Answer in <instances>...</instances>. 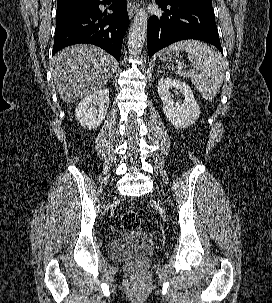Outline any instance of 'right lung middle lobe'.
<instances>
[{"label": "right lung middle lobe", "instance_id": "dd1d6c3e", "mask_svg": "<svg viewBox=\"0 0 272 303\" xmlns=\"http://www.w3.org/2000/svg\"><path fill=\"white\" fill-rule=\"evenodd\" d=\"M94 1L95 0H85V1H78V2H73V3L57 5L56 15L65 13V12L73 10V9L88 6V5L92 4Z\"/></svg>", "mask_w": 272, "mask_h": 303}]
</instances>
